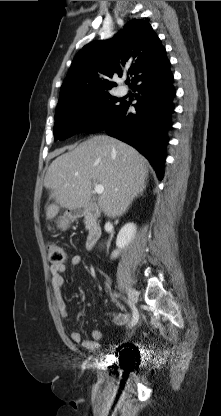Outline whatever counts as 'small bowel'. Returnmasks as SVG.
<instances>
[{
    "mask_svg": "<svg viewBox=\"0 0 221 416\" xmlns=\"http://www.w3.org/2000/svg\"><path fill=\"white\" fill-rule=\"evenodd\" d=\"M82 263V257L80 255H72L69 259V264L72 267H79ZM65 271V265H55L52 264L50 266V273H51V283H52V290L53 296L56 303V306L62 315V317H67V310H66V302L64 299L63 294V287H64V277L63 273ZM131 319L130 314L125 313L123 311H119L113 315V322L117 325H125ZM102 334L99 330L94 329L91 331V339L83 340L82 336L79 332L74 331L70 334V338L72 342L81 344L82 347L87 351H96L99 348V341L101 340Z\"/></svg>",
    "mask_w": 221,
    "mask_h": 416,
    "instance_id": "1",
    "label": "small bowel"
}]
</instances>
